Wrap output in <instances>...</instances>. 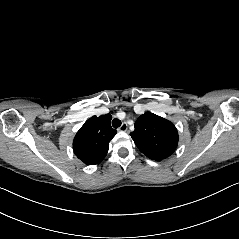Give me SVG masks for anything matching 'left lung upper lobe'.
Listing matches in <instances>:
<instances>
[{
  "label": "left lung upper lobe",
  "mask_w": 239,
  "mask_h": 239,
  "mask_svg": "<svg viewBox=\"0 0 239 239\" xmlns=\"http://www.w3.org/2000/svg\"><path fill=\"white\" fill-rule=\"evenodd\" d=\"M130 134L138 149L152 160H162L176 150L178 131L169 120L151 112L139 116Z\"/></svg>",
  "instance_id": "obj_1"
}]
</instances>
